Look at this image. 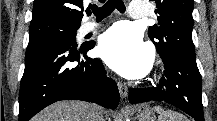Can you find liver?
Wrapping results in <instances>:
<instances>
[{"label":"liver","instance_id":"1","mask_svg":"<svg viewBox=\"0 0 217 121\" xmlns=\"http://www.w3.org/2000/svg\"><path fill=\"white\" fill-rule=\"evenodd\" d=\"M92 105L83 101L56 102L32 118V121H90Z\"/></svg>","mask_w":217,"mask_h":121}]
</instances>
